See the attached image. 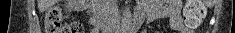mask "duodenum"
Listing matches in <instances>:
<instances>
[{"mask_svg": "<svg viewBox=\"0 0 235 33\" xmlns=\"http://www.w3.org/2000/svg\"><path fill=\"white\" fill-rule=\"evenodd\" d=\"M87 8L90 10L91 1H84ZM143 21V16L139 14H135L134 17L131 20L130 28L132 31H135L139 28ZM91 23L95 26L94 33H98L99 30L104 29L105 32H119L121 24L115 23V22H108V23H101L99 22L95 17L91 19Z\"/></svg>", "mask_w": 235, "mask_h": 33, "instance_id": "410a0bca", "label": "duodenum"}]
</instances>
